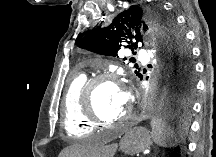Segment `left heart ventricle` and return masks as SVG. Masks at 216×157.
Listing matches in <instances>:
<instances>
[{"label": "left heart ventricle", "instance_id": "left-heart-ventricle-1", "mask_svg": "<svg viewBox=\"0 0 216 157\" xmlns=\"http://www.w3.org/2000/svg\"><path fill=\"white\" fill-rule=\"evenodd\" d=\"M95 108L100 117L113 121L127 111V105L119 100V88L111 84L101 85L95 92Z\"/></svg>", "mask_w": 216, "mask_h": 157}]
</instances>
